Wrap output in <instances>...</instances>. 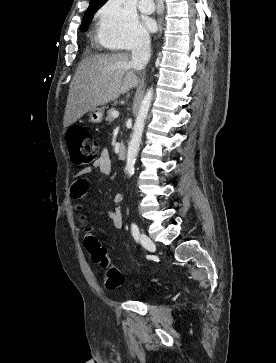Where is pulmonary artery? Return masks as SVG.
<instances>
[{
  "label": "pulmonary artery",
  "mask_w": 276,
  "mask_h": 363,
  "mask_svg": "<svg viewBox=\"0 0 276 363\" xmlns=\"http://www.w3.org/2000/svg\"><path fill=\"white\" fill-rule=\"evenodd\" d=\"M138 7L140 11L145 14H151L154 12L155 6L152 0H140Z\"/></svg>",
  "instance_id": "1"
}]
</instances>
